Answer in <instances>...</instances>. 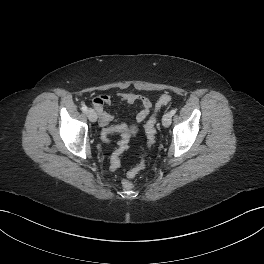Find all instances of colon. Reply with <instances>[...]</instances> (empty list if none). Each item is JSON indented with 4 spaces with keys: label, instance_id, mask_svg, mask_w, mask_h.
<instances>
[{
    "label": "colon",
    "instance_id": "1",
    "mask_svg": "<svg viewBox=\"0 0 264 264\" xmlns=\"http://www.w3.org/2000/svg\"><path fill=\"white\" fill-rule=\"evenodd\" d=\"M171 100V96L169 94H163L161 95L155 105L156 110H159L161 107L167 105ZM146 130V136H147V142L148 146H151L155 142V137L157 133V127H156V116L152 115L146 122L145 125ZM110 134L105 133L102 135L103 139L105 141H109ZM129 139L124 138L122 145L125 148H128ZM145 166V162L142 159L135 167H133L126 175V178L123 180L122 185L124 189L130 190L133 188V183L131 182V179L134 178Z\"/></svg>",
    "mask_w": 264,
    "mask_h": 264
}]
</instances>
